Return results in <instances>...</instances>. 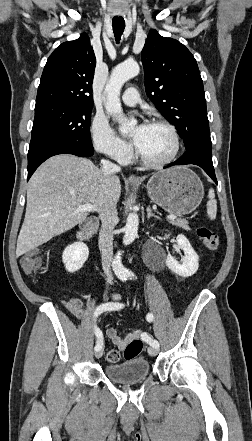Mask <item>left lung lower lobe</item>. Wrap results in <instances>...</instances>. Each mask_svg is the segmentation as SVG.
<instances>
[{"label":"left lung lower lobe","instance_id":"1","mask_svg":"<svg viewBox=\"0 0 252 441\" xmlns=\"http://www.w3.org/2000/svg\"><path fill=\"white\" fill-rule=\"evenodd\" d=\"M194 164L200 166L217 184L214 167L212 163V147L196 146L186 152L175 162L165 166L168 168L174 165Z\"/></svg>","mask_w":252,"mask_h":441}]
</instances>
